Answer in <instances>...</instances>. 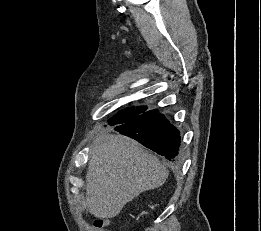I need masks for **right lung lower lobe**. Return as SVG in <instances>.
I'll return each instance as SVG.
<instances>
[{
    "label": "right lung lower lobe",
    "mask_w": 261,
    "mask_h": 231,
    "mask_svg": "<svg viewBox=\"0 0 261 231\" xmlns=\"http://www.w3.org/2000/svg\"><path fill=\"white\" fill-rule=\"evenodd\" d=\"M123 135L132 137L145 147L175 161L180 146L179 131L163 114L150 110L115 127Z\"/></svg>",
    "instance_id": "1"
}]
</instances>
